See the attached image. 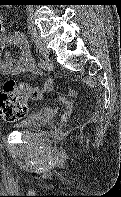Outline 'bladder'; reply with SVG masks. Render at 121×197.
Listing matches in <instances>:
<instances>
[{
  "label": "bladder",
  "mask_w": 121,
  "mask_h": 197,
  "mask_svg": "<svg viewBox=\"0 0 121 197\" xmlns=\"http://www.w3.org/2000/svg\"><path fill=\"white\" fill-rule=\"evenodd\" d=\"M53 118V113L49 108H42L35 112L30 117L21 120L13 125L14 128L18 129H30L38 126L44 121L51 120Z\"/></svg>",
  "instance_id": "1"
}]
</instances>
